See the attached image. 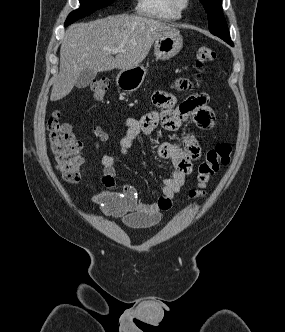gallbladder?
<instances>
[{
  "label": "gallbladder",
  "mask_w": 285,
  "mask_h": 332,
  "mask_svg": "<svg viewBox=\"0 0 285 332\" xmlns=\"http://www.w3.org/2000/svg\"><path fill=\"white\" fill-rule=\"evenodd\" d=\"M97 73L93 70L86 69L82 71L75 83L78 89L86 88L95 78Z\"/></svg>",
  "instance_id": "1"
}]
</instances>
